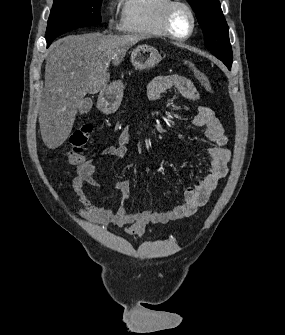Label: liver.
<instances>
[{"instance_id": "liver-1", "label": "liver", "mask_w": 285, "mask_h": 335, "mask_svg": "<svg viewBox=\"0 0 285 335\" xmlns=\"http://www.w3.org/2000/svg\"><path fill=\"white\" fill-rule=\"evenodd\" d=\"M140 40H145V36L81 34L51 44L39 114L40 132L47 148L56 150L62 146L71 134L86 94L105 90L110 80L109 64H121L127 50Z\"/></svg>"}]
</instances>
